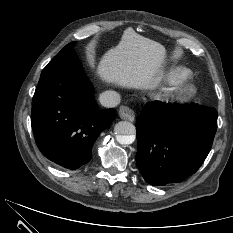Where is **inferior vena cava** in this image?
Instances as JSON below:
<instances>
[{"mask_svg": "<svg viewBox=\"0 0 233 233\" xmlns=\"http://www.w3.org/2000/svg\"><path fill=\"white\" fill-rule=\"evenodd\" d=\"M99 101L102 106L107 108H113L120 103L121 97L115 91H105L100 94Z\"/></svg>", "mask_w": 233, "mask_h": 233, "instance_id": "obj_1", "label": "inferior vena cava"}]
</instances>
